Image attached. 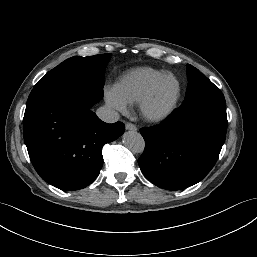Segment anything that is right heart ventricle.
I'll return each mask as SVG.
<instances>
[{
    "instance_id": "1",
    "label": "right heart ventricle",
    "mask_w": 257,
    "mask_h": 257,
    "mask_svg": "<svg viewBox=\"0 0 257 257\" xmlns=\"http://www.w3.org/2000/svg\"><path fill=\"white\" fill-rule=\"evenodd\" d=\"M166 71L141 67L124 73L115 84V91L128 104H139L152 83Z\"/></svg>"
}]
</instances>
